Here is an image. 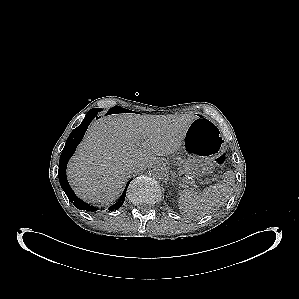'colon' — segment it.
<instances>
[{
  "label": "colon",
  "mask_w": 299,
  "mask_h": 299,
  "mask_svg": "<svg viewBox=\"0 0 299 299\" xmlns=\"http://www.w3.org/2000/svg\"><path fill=\"white\" fill-rule=\"evenodd\" d=\"M224 162H225V158H224V156H220V157H218V158L215 160V163H216L218 166L223 165Z\"/></svg>",
  "instance_id": "5ec220e1"
}]
</instances>
